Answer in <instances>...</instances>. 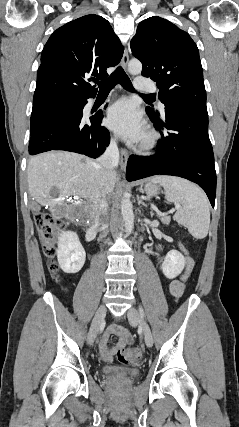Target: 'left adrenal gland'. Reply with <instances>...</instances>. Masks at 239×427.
Listing matches in <instances>:
<instances>
[{"mask_svg": "<svg viewBox=\"0 0 239 427\" xmlns=\"http://www.w3.org/2000/svg\"><path fill=\"white\" fill-rule=\"evenodd\" d=\"M137 200H138V205H140V204H142L143 206H147L144 202H143V200H142V198L140 197V196H137Z\"/></svg>", "mask_w": 239, "mask_h": 427, "instance_id": "a2214340", "label": "left adrenal gland"}]
</instances>
